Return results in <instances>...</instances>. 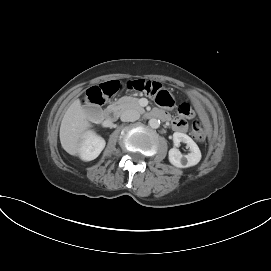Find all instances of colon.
<instances>
[{
	"mask_svg": "<svg viewBox=\"0 0 271 271\" xmlns=\"http://www.w3.org/2000/svg\"><path fill=\"white\" fill-rule=\"evenodd\" d=\"M122 88L149 95L160 106L169 107L173 105L171 94L160 83L146 79H132L124 84L117 80H112L99 86H93L86 93L85 103L96 109L102 106L107 98L113 96ZM179 111L185 116H190L193 113L192 107L188 102L181 103ZM192 134L198 141H203L206 138V129L202 121L195 120L193 122Z\"/></svg>",
	"mask_w": 271,
	"mask_h": 271,
	"instance_id": "1",
	"label": "colon"
}]
</instances>
